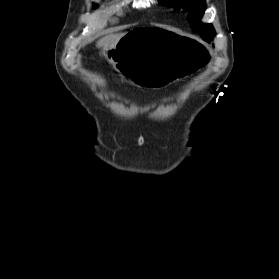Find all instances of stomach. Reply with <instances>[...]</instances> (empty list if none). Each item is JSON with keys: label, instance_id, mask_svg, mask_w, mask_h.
Here are the masks:
<instances>
[{"label": "stomach", "instance_id": "1", "mask_svg": "<svg viewBox=\"0 0 279 279\" xmlns=\"http://www.w3.org/2000/svg\"><path fill=\"white\" fill-rule=\"evenodd\" d=\"M99 53L91 54V59H111L137 91H163V87L174 85L176 78H201L207 72L202 66L209 61L208 48L202 41L160 25H137V30H128L114 47Z\"/></svg>", "mask_w": 279, "mask_h": 279}]
</instances>
